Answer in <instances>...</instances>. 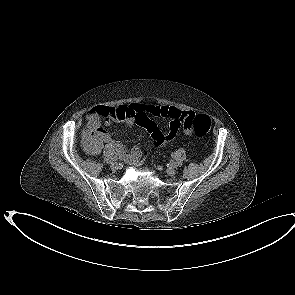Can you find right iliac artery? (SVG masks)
Wrapping results in <instances>:
<instances>
[{
	"instance_id": "82829eb1",
	"label": "right iliac artery",
	"mask_w": 295,
	"mask_h": 295,
	"mask_svg": "<svg viewBox=\"0 0 295 295\" xmlns=\"http://www.w3.org/2000/svg\"><path fill=\"white\" fill-rule=\"evenodd\" d=\"M117 159H118L117 156H113V157L111 158L112 161H116Z\"/></svg>"
}]
</instances>
